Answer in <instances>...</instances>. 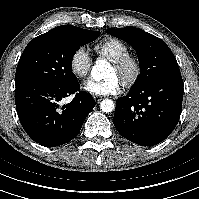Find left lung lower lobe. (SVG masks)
I'll return each instance as SVG.
<instances>
[{"mask_svg":"<svg viewBox=\"0 0 199 199\" xmlns=\"http://www.w3.org/2000/svg\"><path fill=\"white\" fill-rule=\"evenodd\" d=\"M180 71L158 77L116 100L114 125L129 141L153 146L175 129L182 110Z\"/></svg>","mask_w":199,"mask_h":199,"instance_id":"obj_1","label":"left lung lower lobe"}]
</instances>
